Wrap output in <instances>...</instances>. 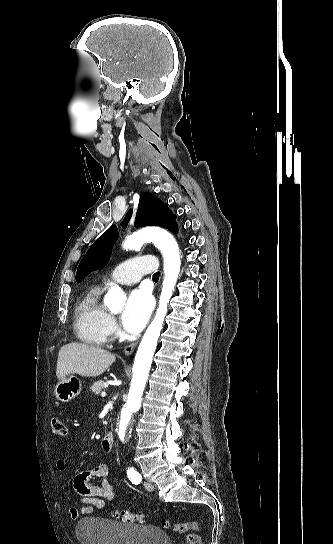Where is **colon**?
<instances>
[{
	"label": "colon",
	"instance_id": "1",
	"mask_svg": "<svg viewBox=\"0 0 333 544\" xmlns=\"http://www.w3.org/2000/svg\"><path fill=\"white\" fill-rule=\"evenodd\" d=\"M51 431L54 435L64 437L67 435V428L65 423L57 417L51 419ZM116 517L128 523H142L143 515L141 513H134L127 510H120L116 512ZM165 528H172L175 532L185 534V540L187 544H202L199 535V524L194 521L177 522L171 524L169 521H163Z\"/></svg>",
	"mask_w": 333,
	"mask_h": 544
}]
</instances>
